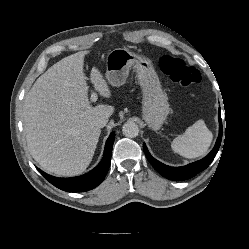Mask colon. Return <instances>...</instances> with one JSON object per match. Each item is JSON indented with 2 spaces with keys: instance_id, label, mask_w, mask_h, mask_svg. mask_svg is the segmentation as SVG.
Listing matches in <instances>:
<instances>
[{
  "instance_id": "obj_1",
  "label": "colon",
  "mask_w": 249,
  "mask_h": 249,
  "mask_svg": "<svg viewBox=\"0 0 249 249\" xmlns=\"http://www.w3.org/2000/svg\"><path fill=\"white\" fill-rule=\"evenodd\" d=\"M161 71L173 82L182 86L195 85L200 82V73L190 67L182 59L172 56H163L159 61Z\"/></svg>"
}]
</instances>
